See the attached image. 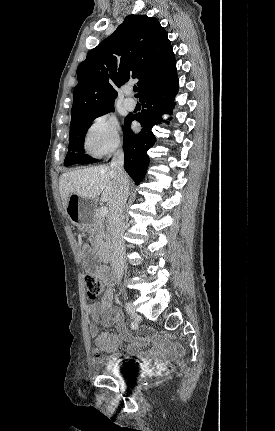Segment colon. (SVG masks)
Listing matches in <instances>:
<instances>
[{"mask_svg":"<svg viewBox=\"0 0 275 431\" xmlns=\"http://www.w3.org/2000/svg\"><path fill=\"white\" fill-rule=\"evenodd\" d=\"M87 296L90 300H97L104 291V283L94 274L90 273L85 276Z\"/></svg>","mask_w":275,"mask_h":431,"instance_id":"obj_1","label":"colon"}]
</instances>
